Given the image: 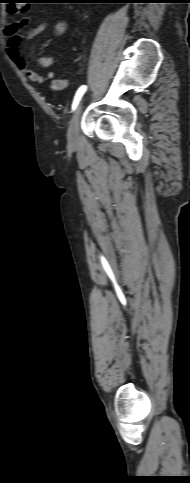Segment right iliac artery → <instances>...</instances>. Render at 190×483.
<instances>
[{
    "label": "right iliac artery",
    "instance_id": "right-iliac-artery-1",
    "mask_svg": "<svg viewBox=\"0 0 190 483\" xmlns=\"http://www.w3.org/2000/svg\"><path fill=\"white\" fill-rule=\"evenodd\" d=\"M87 89V86L83 85L81 86L77 92H76V95L74 97V101H73V104H72V110H75V108L77 107L81 97L83 96V94L85 93Z\"/></svg>",
    "mask_w": 190,
    "mask_h": 483
}]
</instances>
